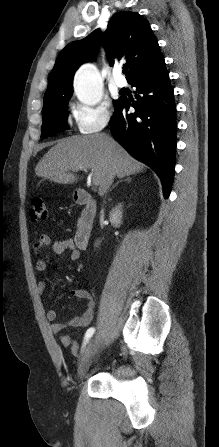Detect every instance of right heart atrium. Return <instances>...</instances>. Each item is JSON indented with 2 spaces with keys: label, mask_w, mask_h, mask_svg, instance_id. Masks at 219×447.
<instances>
[{
  "label": "right heart atrium",
  "mask_w": 219,
  "mask_h": 447,
  "mask_svg": "<svg viewBox=\"0 0 219 447\" xmlns=\"http://www.w3.org/2000/svg\"><path fill=\"white\" fill-rule=\"evenodd\" d=\"M111 106L101 100L94 99L93 106H81L77 108L75 120L82 134H93L101 131L111 117Z\"/></svg>",
  "instance_id": "obj_1"
}]
</instances>
